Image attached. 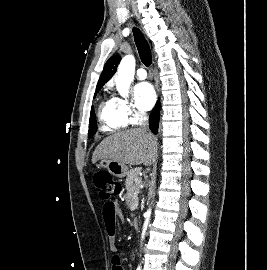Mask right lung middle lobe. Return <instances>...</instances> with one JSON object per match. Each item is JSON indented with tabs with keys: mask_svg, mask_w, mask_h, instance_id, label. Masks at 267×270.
<instances>
[{
	"mask_svg": "<svg viewBox=\"0 0 267 270\" xmlns=\"http://www.w3.org/2000/svg\"><path fill=\"white\" fill-rule=\"evenodd\" d=\"M99 92V90H96V93L94 95V97L96 96V94ZM97 131V123H96V117H95V113H94V108L92 106L91 108V113H90V120H89V132H88V136L89 137H93L94 134Z\"/></svg>",
	"mask_w": 267,
	"mask_h": 270,
	"instance_id": "obj_1",
	"label": "right lung middle lobe"
}]
</instances>
